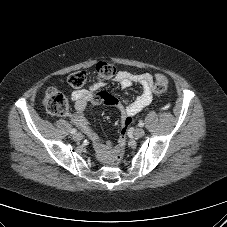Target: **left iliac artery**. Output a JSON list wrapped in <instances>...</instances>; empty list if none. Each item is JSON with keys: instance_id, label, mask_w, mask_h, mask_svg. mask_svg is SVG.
<instances>
[{"instance_id": "44dca946", "label": "left iliac artery", "mask_w": 227, "mask_h": 227, "mask_svg": "<svg viewBox=\"0 0 227 227\" xmlns=\"http://www.w3.org/2000/svg\"><path fill=\"white\" fill-rule=\"evenodd\" d=\"M138 125H139L140 127H143V126H144V123H143L142 121H140V122L138 123Z\"/></svg>"}]
</instances>
